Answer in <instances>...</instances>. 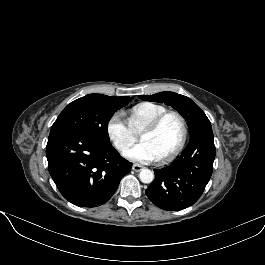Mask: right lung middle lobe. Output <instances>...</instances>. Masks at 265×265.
Here are the masks:
<instances>
[{"label":"right lung middle lobe","instance_id":"dd1d6c3e","mask_svg":"<svg viewBox=\"0 0 265 265\" xmlns=\"http://www.w3.org/2000/svg\"><path fill=\"white\" fill-rule=\"evenodd\" d=\"M106 102L95 95H86L68 104L51 127L50 133L60 130H79L105 142H110L108 122L112 115L129 103Z\"/></svg>","mask_w":265,"mask_h":265}]
</instances>
